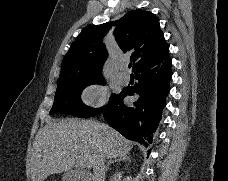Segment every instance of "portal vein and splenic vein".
Masks as SVG:
<instances>
[{"instance_id": "1", "label": "portal vein and splenic vein", "mask_w": 228, "mask_h": 181, "mask_svg": "<svg viewBox=\"0 0 228 181\" xmlns=\"http://www.w3.org/2000/svg\"><path fill=\"white\" fill-rule=\"evenodd\" d=\"M76 165H78V167H86L85 161H83L81 157H79V159H76Z\"/></svg>"}]
</instances>
